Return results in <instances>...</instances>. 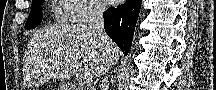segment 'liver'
<instances>
[{"instance_id": "1", "label": "liver", "mask_w": 216, "mask_h": 90, "mask_svg": "<svg viewBox=\"0 0 216 90\" xmlns=\"http://www.w3.org/2000/svg\"><path fill=\"white\" fill-rule=\"evenodd\" d=\"M112 64L118 60L119 48L110 40ZM98 36L88 32L82 22H65L63 26L44 28L30 40L26 62L37 58L47 78H71L75 72L95 74L102 66Z\"/></svg>"}]
</instances>
